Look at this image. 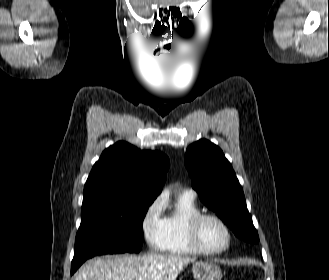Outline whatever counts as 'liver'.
<instances>
[{"label":"liver","instance_id":"obj_1","mask_svg":"<svg viewBox=\"0 0 329 280\" xmlns=\"http://www.w3.org/2000/svg\"><path fill=\"white\" fill-rule=\"evenodd\" d=\"M193 261L190 257L154 253L95 258L79 268L74 280H176Z\"/></svg>","mask_w":329,"mask_h":280}]
</instances>
